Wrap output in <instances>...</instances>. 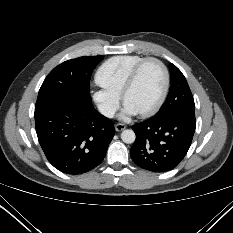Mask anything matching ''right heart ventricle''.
Here are the masks:
<instances>
[{"label":"right heart ventricle","mask_w":233,"mask_h":233,"mask_svg":"<svg viewBox=\"0 0 233 233\" xmlns=\"http://www.w3.org/2000/svg\"><path fill=\"white\" fill-rule=\"evenodd\" d=\"M142 59L144 57L139 55H119L109 58L96 72L98 84L120 95L130 72Z\"/></svg>","instance_id":"right-heart-ventricle-1"}]
</instances>
